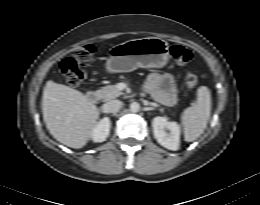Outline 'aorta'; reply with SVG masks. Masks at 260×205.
I'll list each match as a JSON object with an SVG mask.
<instances>
[{
    "label": "aorta",
    "instance_id": "obj_1",
    "mask_svg": "<svg viewBox=\"0 0 260 205\" xmlns=\"http://www.w3.org/2000/svg\"><path fill=\"white\" fill-rule=\"evenodd\" d=\"M140 110V105H139V103H137V102H132L131 104H130V111L131 112H138Z\"/></svg>",
    "mask_w": 260,
    "mask_h": 205
}]
</instances>
